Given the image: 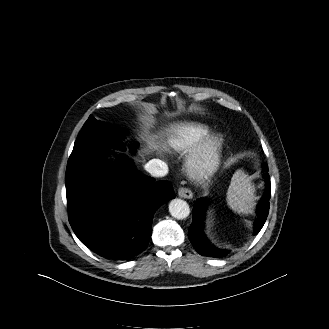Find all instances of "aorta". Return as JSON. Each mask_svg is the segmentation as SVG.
<instances>
[{
    "label": "aorta",
    "mask_w": 329,
    "mask_h": 329,
    "mask_svg": "<svg viewBox=\"0 0 329 329\" xmlns=\"http://www.w3.org/2000/svg\"><path fill=\"white\" fill-rule=\"evenodd\" d=\"M169 212L172 217L183 220L189 216L190 208L186 201L176 198L169 203Z\"/></svg>",
    "instance_id": "aorta-1"
}]
</instances>
